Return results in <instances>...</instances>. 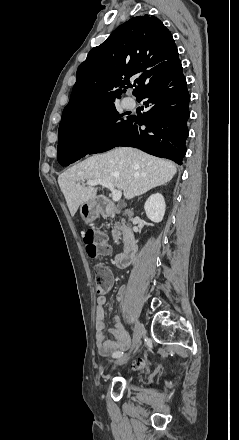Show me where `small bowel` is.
I'll return each mask as SVG.
<instances>
[{"label": "small bowel", "mask_w": 239, "mask_h": 440, "mask_svg": "<svg viewBox=\"0 0 239 440\" xmlns=\"http://www.w3.org/2000/svg\"><path fill=\"white\" fill-rule=\"evenodd\" d=\"M106 269L109 275V282L106 288L97 297L95 341L98 351L102 356H108V355L113 356L114 353L123 352L129 348L130 338L119 316L114 317V328L111 331V334L113 335V339L106 338V334L104 332V328H105L104 306L106 303V298L104 296V293L110 289L111 280H112V274L110 270L108 268ZM123 295H124V288L121 287L118 291V297L121 299Z\"/></svg>", "instance_id": "c3829d8e"}]
</instances>
